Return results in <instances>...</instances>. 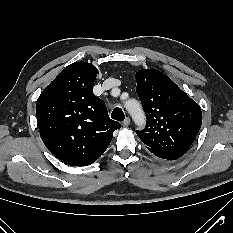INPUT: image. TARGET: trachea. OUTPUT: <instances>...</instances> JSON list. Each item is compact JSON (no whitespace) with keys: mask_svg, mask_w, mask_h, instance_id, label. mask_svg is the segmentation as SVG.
Returning <instances> with one entry per match:
<instances>
[{"mask_svg":"<svg viewBox=\"0 0 233 233\" xmlns=\"http://www.w3.org/2000/svg\"><path fill=\"white\" fill-rule=\"evenodd\" d=\"M111 117H112L114 120H117V121H123V120L125 119L124 112H123L122 109L119 108V107L115 108V109L112 111Z\"/></svg>","mask_w":233,"mask_h":233,"instance_id":"obj_1","label":"trachea"}]
</instances>
